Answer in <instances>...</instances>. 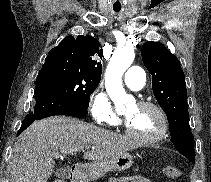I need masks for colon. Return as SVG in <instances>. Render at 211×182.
I'll list each match as a JSON object with an SVG mask.
<instances>
[{"instance_id": "1", "label": "colon", "mask_w": 211, "mask_h": 182, "mask_svg": "<svg viewBox=\"0 0 211 182\" xmlns=\"http://www.w3.org/2000/svg\"><path fill=\"white\" fill-rule=\"evenodd\" d=\"M163 174L168 178H177L179 176V171L174 166H167L163 169ZM52 182H64L63 180L56 179Z\"/></svg>"}]
</instances>
